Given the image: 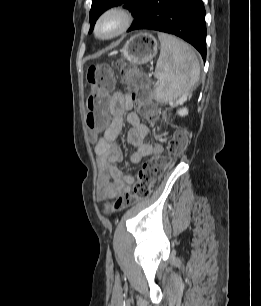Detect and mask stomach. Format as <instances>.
<instances>
[{"label":"stomach","mask_w":261,"mask_h":306,"mask_svg":"<svg viewBox=\"0 0 261 306\" xmlns=\"http://www.w3.org/2000/svg\"><path fill=\"white\" fill-rule=\"evenodd\" d=\"M158 43L149 33L132 36L124 45L121 53L127 61L141 65L151 61L157 54Z\"/></svg>","instance_id":"0dacf381"}]
</instances>
